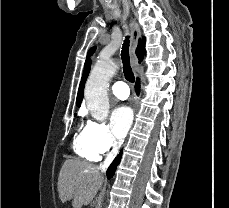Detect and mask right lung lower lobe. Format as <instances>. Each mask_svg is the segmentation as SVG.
Segmentation results:
<instances>
[{
	"instance_id": "obj_1",
	"label": "right lung lower lobe",
	"mask_w": 229,
	"mask_h": 208,
	"mask_svg": "<svg viewBox=\"0 0 229 208\" xmlns=\"http://www.w3.org/2000/svg\"><path fill=\"white\" fill-rule=\"evenodd\" d=\"M139 87H140V82L139 80H137V83L135 85V89L136 92L139 93ZM121 156H122V152H120V154L114 159V161L112 162V164L109 166L108 170H107V178L111 179L115 173V170L121 160Z\"/></svg>"
}]
</instances>
